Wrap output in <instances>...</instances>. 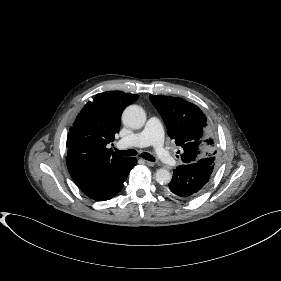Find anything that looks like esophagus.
<instances>
[{
  "instance_id": "34e87169",
  "label": "esophagus",
  "mask_w": 281,
  "mask_h": 281,
  "mask_svg": "<svg viewBox=\"0 0 281 281\" xmlns=\"http://www.w3.org/2000/svg\"><path fill=\"white\" fill-rule=\"evenodd\" d=\"M144 163L148 166H154L155 165L154 162H151V161H148V160H144Z\"/></svg>"
}]
</instances>
